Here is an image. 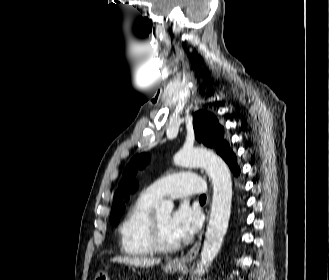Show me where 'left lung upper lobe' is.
Listing matches in <instances>:
<instances>
[{
    "mask_svg": "<svg viewBox=\"0 0 329 280\" xmlns=\"http://www.w3.org/2000/svg\"><path fill=\"white\" fill-rule=\"evenodd\" d=\"M193 127L198 141L205 145L215 147L216 152L230 165L236 162V156L231 151L229 144L223 139V127L217 118L210 112L199 110L194 113ZM149 161L146 154L134 156L126 166L118 190L115 192L110 221L113 225L119 223L125 210L124 201H128L130 193H133L138 183L134 180L138 169L145 167Z\"/></svg>",
    "mask_w": 329,
    "mask_h": 280,
    "instance_id": "left-lung-upper-lobe-1",
    "label": "left lung upper lobe"
}]
</instances>
